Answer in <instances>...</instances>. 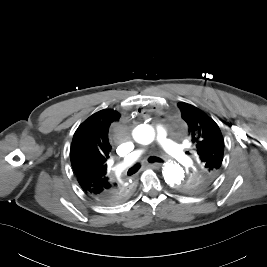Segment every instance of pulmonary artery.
<instances>
[{"label":"pulmonary artery","mask_w":267,"mask_h":267,"mask_svg":"<svg viewBox=\"0 0 267 267\" xmlns=\"http://www.w3.org/2000/svg\"><path fill=\"white\" fill-rule=\"evenodd\" d=\"M156 139L159 144V146L171 157L180 160L185 161L186 156L183 153L182 148L177 145L175 142L170 140L167 136V132L164 128L159 127L156 131ZM143 153V151L137 150L133 151L130 154H128L123 162L119 164L120 169H124L134 163Z\"/></svg>","instance_id":"obj_1"}]
</instances>
